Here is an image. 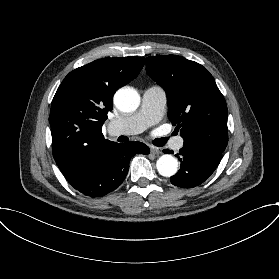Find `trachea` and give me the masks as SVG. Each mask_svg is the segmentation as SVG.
Wrapping results in <instances>:
<instances>
[{
	"label": "trachea",
	"instance_id": "3493384b",
	"mask_svg": "<svg viewBox=\"0 0 279 279\" xmlns=\"http://www.w3.org/2000/svg\"><path fill=\"white\" fill-rule=\"evenodd\" d=\"M121 137H123V136H121ZM119 141H120V137H119V139H118ZM166 139L165 138H158V139H154V144L156 145V146H163L165 143H166Z\"/></svg>",
	"mask_w": 279,
	"mask_h": 279
}]
</instances>
